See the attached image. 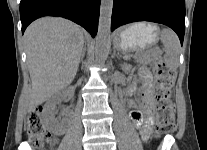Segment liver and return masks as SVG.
Returning a JSON list of instances; mask_svg holds the SVG:
<instances>
[{
    "instance_id": "1",
    "label": "liver",
    "mask_w": 207,
    "mask_h": 150,
    "mask_svg": "<svg viewBox=\"0 0 207 150\" xmlns=\"http://www.w3.org/2000/svg\"><path fill=\"white\" fill-rule=\"evenodd\" d=\"M32 88L28 111L49 100L72 83L84 46L83 30L63 19L44 17L24 34Z\"/></svg>"
}]
</instances>
